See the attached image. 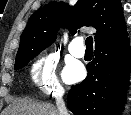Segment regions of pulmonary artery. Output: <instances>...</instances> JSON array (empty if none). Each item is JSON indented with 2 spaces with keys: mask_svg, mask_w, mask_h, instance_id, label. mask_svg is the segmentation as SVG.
I'll list each match as a JSON object with an SVG mask.
<instances>
[{
  "mask_svg": "<svg viewBox=\"0 0 131 115\" xmlns=\"http://www.w3.org/2000/svg\"><path fill=\"white\" fill-rule=\"evenodd\" d=\"M69 52L77 58H82L85 54V50L82 46V40L79 38L73 39L69 44Z\"/></svg>",
  "mask_w": 131,
  "mask_h": 115,
  "instance_id": "e3ab8cb5",
  "label": "pulmonary artery"
}]
</instances>
